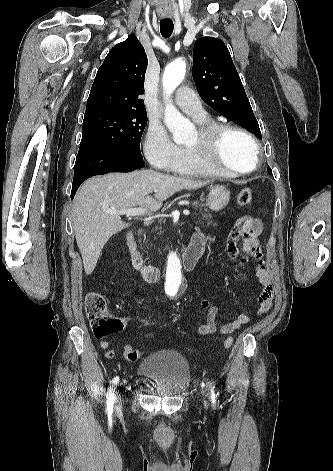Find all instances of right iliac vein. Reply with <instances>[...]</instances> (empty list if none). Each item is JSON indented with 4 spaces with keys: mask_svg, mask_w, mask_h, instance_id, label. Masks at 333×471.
Instances as JSON below:
<instances>
[{
    "mask_svg": "<svg viewBox=\"0 0 333 471\" xmlns=\"http://www.w3.org/2000/svg\"><path fill=\"white\" fill-rule=\"evenodd\" d=\"M121 406V398L116 394L115 396V408L118 409Z\"/></svg>",
    "mask_w": 333,
    "mask_h": 471,
    "instance_id": "63e3f726",
    "label": "right iliac vein"
}]
</instances>
